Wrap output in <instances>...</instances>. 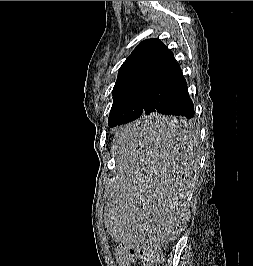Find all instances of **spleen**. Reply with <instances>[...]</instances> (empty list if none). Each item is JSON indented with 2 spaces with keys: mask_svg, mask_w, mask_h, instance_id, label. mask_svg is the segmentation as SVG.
Returning a JSON list of instances; mask_svg holds the SVG:
<instances>
[{
  "mask_svg": "<svg viewBox=\"0 0 253 266\" xmlns=\"http://www.w3.org/2000/svg\"><path fill=\"white\" fill-rule=\"evenodd\" d=\"M127 123L113 136L119 190H107L116 199L105 210L111 242L120 248H166L173 235H183L190 190L196 183L192 160L191 123L173 111H152Z\"/></svg>",
  "mask_w": 253,
  "mask_h": 266,
  "instance_id": "1",
  "label": "spleen"
}]
</instances>
